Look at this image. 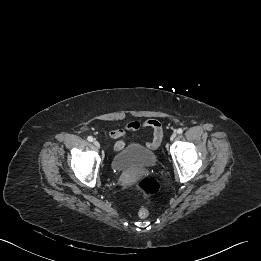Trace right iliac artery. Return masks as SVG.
<instances>
[{
  "label": "right iliac artery",
  "mask_w": 261,
  "mask_h": 261,
  "mask_svg": "<svg viewBox=\"0 0 261 261\" xmlns=\"http://www.w3.org/2000/svg\"><path fill=\"white\" fill-rule=\"evenodd\" d=\"M87 140H88L89 142H92V141H93V137H92V136H88Z\"/></svg>",
  "instance_id": "1"
}]
</instances>
